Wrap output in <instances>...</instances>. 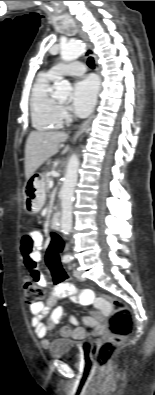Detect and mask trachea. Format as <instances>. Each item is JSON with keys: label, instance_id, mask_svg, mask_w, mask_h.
Instances as JSON below:
<instances>
[{"label": "trachea", "instance_id": "trachea-1", "mask_svg": "<svg viewBox=\"0 0 155 395\" xmlns=\"http://www.w3.org/2000/svg\"><path fill=\"white\" fill-rule=\"evenodd\" d=\"M87 64H88V66H89L90 68H94V67H95L93 57H89V58H88Z\"/></svg>", "mask_w": 155, "mask_h": 395}]
</instances>
